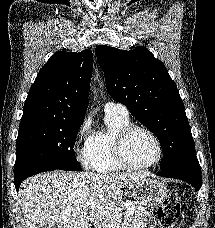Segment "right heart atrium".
I'll return each instance as SVG.
<instances>
[{"mask_svg":"<svg viewBox=\"0 0 215 228\" xmlns=\"http://www.w3.org/2000/svg\"><path fill=\"white\" fill-rule=\"evenodd\" d=\"M90 127H91L90 119H84L76 130V141L84 137L88 133ZM76 156L79 161H83L85 159L84 149L77 146Z\"/></svg>","mask_w":215,"mask_h":228,"instance_id":"obj_1","label":"right heart atrium"}]
</instances>
